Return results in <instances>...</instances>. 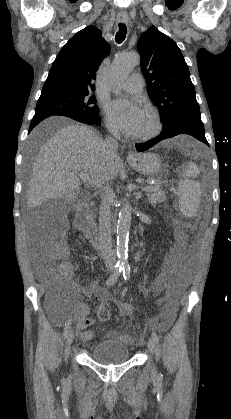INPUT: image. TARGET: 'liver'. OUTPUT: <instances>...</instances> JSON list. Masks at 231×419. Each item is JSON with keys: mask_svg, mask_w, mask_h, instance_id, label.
Masks as SVG:
<instances>
[{"mask_svg": "<svg viewBox=\"0 0 231 419\" xmlns=\"http://www.w3.org/2000/svg\"><path fill=\"white\" fill-rule=\"evenodd\" d=\"M51 118L46 125L59 122ZM120 158L107 154L105 141L91 128L70 124L54 133L41 147L32 168L27 191V206L63 198L80 187L78 173L99 188L115 179Z\"/></svg>", "mask_w": 231, "mask_h": 419, "instance_id": "obj_1", "label": "liver"}]
</instances>
